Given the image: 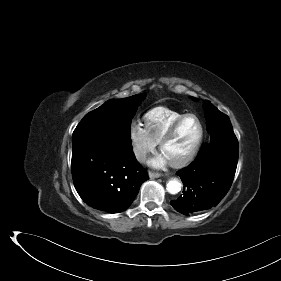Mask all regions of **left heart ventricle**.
Masks as SVG:
<instances>
[{
  "label": "left heart ventricle",
  "mask_w": 281,
  "mask_h": 281,
  "mask_svg": "<svg viewBox=\"0 0 281 281\" xmlns=\"http://www.w3.org/2000/svg\"><path fill=\"white\" fill-rule=\"evenodd\" d=\"M199 136V124L194 117L183 121L174 137L164 146L162 153L169 160L179 159L188 153Z\"/></svg>",
  "instance_id": "obj_1"
}]
</instances>
